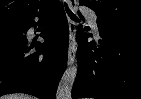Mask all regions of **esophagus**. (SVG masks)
Instances as JSON below:
<instances>
[{
  "instance_id": "1",
  "label": "esophagus",
  "mask_w": 141,
  "mask_h": 99,
  "mask_svg": "<svg viewBox=\"0 0 141 99\" xmlns=\"http://www.w3.org/2000/svg\"><path fill=\"white\" fill-rule=\"evenodd\" d=\"M67 3L72 11L76 10V0H67ZM69 48H68V64H73L76 56V24L69 19Z\"/></svg>"
}]
</instances>
